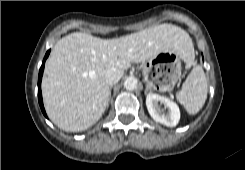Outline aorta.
Returning <instances> with one entry per match:
<instances>
[{
	"label": "aorta",
	"mask_w": 245,
	"mask_h": 170,
	"mask_svg": "<svg viewBox=\"0 0 245 170\" xmlns=\"http://www.w3.org/2000/svg\"><path fill=\"white\" fill-rule=\"evenodd\" d=\"M138 81L135 77H127L124 81V87L126 90H135L137 88Z\"/></svg>",
	"instance_id": "762f6f07"
}]
</instances>
